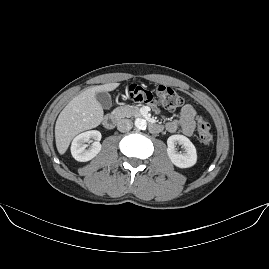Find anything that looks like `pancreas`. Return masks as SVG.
<instances>
[{"label": "pancreas", "mask_w": 269, "mask_h": 269, "mask_svg": "<svg viewBox=\"0 0 269 269\" xmlns=\"http://www.w3.org/2000/svg\"><path fill=\"white\" fill-rule=\"evenodd\" d=\"M112 114L117 119H122L125 117L129 118L132 116L138 117L140 116V110L137 106L125 105L115 108L112 111Z\"/></svg>", "instance_id": "1"}]
</instances>
